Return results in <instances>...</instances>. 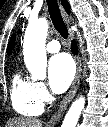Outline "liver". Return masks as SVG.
Segmentation results:
<instances>
[{
    "label": "liver",
    "mask_w": 108,
    "mask_h": 127,
    "mask_svg": "<svg viewBox=\"0 0 108 127\" xmlns=\"http://www.w3.org/2000/svg\"><path fill=\"white\" fill-rule=\"evenodd\" d=\"M5 127H42V121L37 118H11L6 123Z\"/></svg>",
    "instance_id": "liver-1"
}]
</instances>
